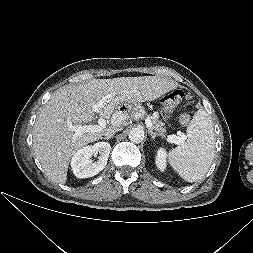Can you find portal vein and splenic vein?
Segmentation results:
<instances>
[{"label": "portal vein and splenic vein", "mask_w": 253, "mask_h": 253, "mask_svg": "<svg viewBox=\"0 0 253 253\" xmlns=\"http://www.w3.org/2000/svg\"><path fill=\"white\" fill-rule=\"evenodd\" d=\"M109 97H104L102 98L99 102H97L96 104L92 105V110L96 113H98L101 108L103 107V105L105 104V102L107 101ZM113 120H122V116L119 114H113ZM146 126L148 128H151L152 126V121L150 118H146L145 120ZM107 121L105 118H99L98 120V125H80V126H71L73 128V130L75 131L76 135H81L83 133H87V132H97L102 130L103 128L106 127ZM186 139L185 135H182L181 132L178 133V136L176 135H169L167 138V141L170 143H175V144H179L181 142H183Z\"/></svg>", "instance_id": "1"}]
</instances>
